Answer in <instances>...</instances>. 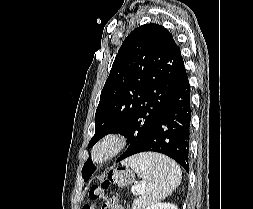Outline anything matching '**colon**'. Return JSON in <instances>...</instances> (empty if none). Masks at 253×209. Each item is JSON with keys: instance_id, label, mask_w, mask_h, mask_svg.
<instances>
[{"instance_id": "colon-1", "label": "colon", "mask_w": 253, "mask_h": 209, "mask_svg": "<svg viewBox=\"0 0 253 209\" xmlns=\"http://www.w3.org/2000/svg\"><path fill=\"white\" fill-rule=\"evenodd\" d=\"M133 180V174L129 170L121 169L116 170L108 174V177L100 185H94L89 190V197L92 201H97L101 198L104 188L109 184L113 183L117 186H126L130 184ZM118 205L116 204L115 199H110L104 202L101 206V209H117ZM83 209H94L92 205H85Z\"/></svg>"}]
</instances>
